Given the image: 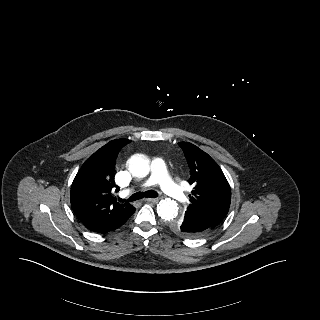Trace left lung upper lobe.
Listing matches in <instances>:
<instances>
[{
  "mask_svg": "<svg viewBox=\"0 0 320 320\" xmlns=\"http://www.w3.org/2000/svg\"><path fill=\"white\" fill-rule=\"evenodd\" d=\"M190 167L189 183L193 185L190 204L185 214H193L212 228L217 227L228 213L231 189L218 164L197 146L180 142ZM179 222L173 227L178 229Z\"/></svg>",
  "mask_w": 320,
  "mask_h": 320,
  "instance_id": "obj_1",
  "label": "left lung upper lobe"
}]
</instances>
